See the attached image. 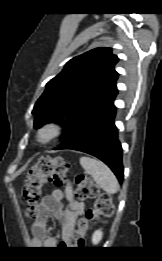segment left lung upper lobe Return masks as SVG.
I'll use <instances>...</instances> for the list:
<instances>
[{
    "mask_svg": "<svg viewBox=\"0 0 162 261\" xmlns=\"http://www.w3.org/2000/svg\"><path fill=\"white\" fill-rule=\"evenodd\" d=\"M118 57L100 47L74 57L36 102L34 127L55 122L63 126V140L117 95Z\"/></svg>",
    "mask_w": 162,
    "mask_h": 261,
    "instance_id": "1",
    "label": "left lung upper lobe"
}]
</instances>
